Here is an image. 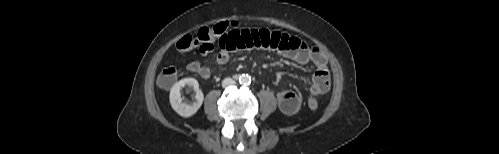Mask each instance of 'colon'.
Returning a JSON list of instances; mask_svg holds the SVG:
<instances>
[{"label":"colon","mask_w":499,"mask_h":154,"mask_svg":"<svg viewBox=\"0 0 499 154\" xmlns=\"http://www.w3.org/2000/svg\"><path fill=\"white\" fill-rule=\"evenodd\" d=\"M238 26V23L220 22L215 25L200 28L195 34H187L180 38L176 47L180 51H189L197 47L203 42H210L226 33L229 26ZM177 80L176 68L170 66L162 70L159 75L158 83L163 88H171ZM308 107L311 111L316 112L319 107V102L316 96L310 95L308 98Z\"/></svg>","instance_id":"colon-1"}]
</instances>
